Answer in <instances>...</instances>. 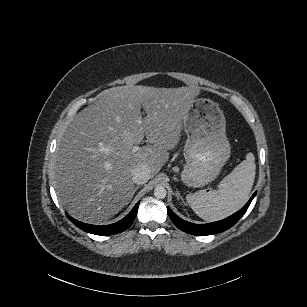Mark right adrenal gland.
I'll list each match as a JSON object with an SVG mask.
<instances>
[{
  "mask_svg": "<svg viewBox=\"0 0 307 307\" xmlns=\"http://www.w3.org/2000/svg\"><path fill=\"white\" fill-rule=\"evenodd\" d=\"M137 189H139V186H136V187L133 188V191H132V194H131V196H130L129 202L133 199L134 194L136 193V190H137Z\"/></svg>",
  "mask_w": 307,
  "mask_h": 307,
  "instance_id": "1",
  "label": "right adrenal gland"
}]
</instances>
